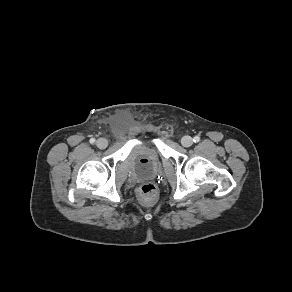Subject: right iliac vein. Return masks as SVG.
I'll list each match as a JSON object with an SVG mask.
<instances>
[{
	"label": "right iliac vein",
	"instance_id": "obj_1",
	"mask_svg": "<svg viewBox=\"0 0 292 292\" xmlns=\"http://www.w3.org/2000/svg\"><path fill=\"white\" fill-rule=\"evenodd\" d=\"M96 145L100 149H105L108 146V142L104 138H100L97 140Z\"/></svg>",
	"mask_w": 292,
	"mask_h": 292
}]
</instances>
